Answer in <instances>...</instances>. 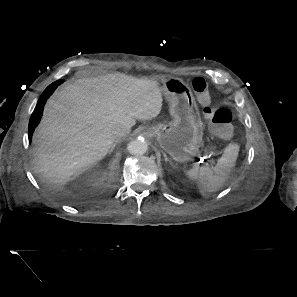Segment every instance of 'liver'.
Masks as SVG:
<instances>
[{"label":"liver","mask_w":297,"mask_h":297,"mask_svg":"<svg viewBox=\"0 0 297 297\" xmlns=\"http://www.w3.org/2000/svg\"><path fill=\"white\" fill-rule=\"evenodd\" d=\"M162 102L156 80L123 73L68 84L47 102L34 133L35 172L64 193L73 176L107 155L117 126L131 128L136 120L157 117Z\"/></svg>","instance_id":"6515ba94"}]
</instances>
